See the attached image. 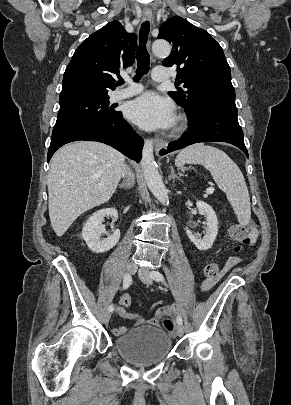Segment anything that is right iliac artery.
Returning a JSON list of instances; mask_svg holds the SVG:
<instances>
[{
    "mask_svg": "<svg viewBox=\"0 0 291 405\" xmlns=\"http://www.w3.org/2000/svg\"><path fill=\"white\" fill-rule=\"evenodd\" d=\"M131 282H132V278H131L130 274H126L123 279V289H128L129 286L131 285ZM113 310H114V306L110 305L108 307V311L112 312Z\"/></svg>",
    "mask_w": 291,
    "mask_h": 405,
    "instance_id": "right-iliac-artery-1",
    "label": "right iliac artery"
}]
</instances>
